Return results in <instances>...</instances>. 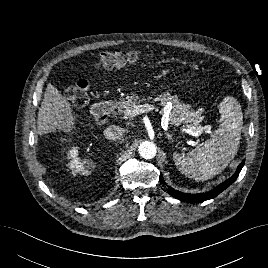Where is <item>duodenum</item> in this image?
Wrapping results in <instances>:
<instances>
[{
    "label": "duodenum",
    "instance_id": "duodenum-1",
    "mask_svg": "<svg viewBox=\"0 0 268 268\" xmlns=\"http://www.w3.org/2000/svg\"><path fill=\"white\" fill-rule=\"evenodd\" d=\"M115 105L111 101H102L95 103L92 107L94 115L100 120L107 122L113 113Z\"/></svg>",
    "mask_w": 268,
    "mask_h": 268
}]
</instances>
